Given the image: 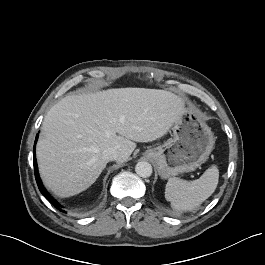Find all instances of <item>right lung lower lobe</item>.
Segmentation results:
<instances>
[{
    "instance_id": "obj_1",
    "label": "right lung lower lobe",
    "mask_w": 265,
    "mask_h": 265,
    "mask_svg": "<svg viewBox=\"0 0 265 265\" xmlns=\"http://www.w3.org/2000/svg\"><path fill=\"white\" fill-rule=\"evenodd\" d=\"M37 138H38V134L36 136L35 139V144L37 142ZM35 144H34V170H35V178H36V182L38 185V188L40 190V192L43 194V196L53 205L55 206L57 209H59L62 212H65L64 210H62V206L52 197L50 196V194L46 191V189L43 187V184L40 180L39 174H38V169H37V163H36V158H35Z\"/></svg>"
}]
</instances>
